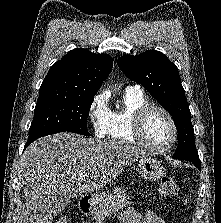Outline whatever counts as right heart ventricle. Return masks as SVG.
Here are the masks:
<instances>
[{
	"label": "right heart ventricle",
	"mask_w": 221,
	"mask_h": 223,
	"mask_svg": "<svg viewBox=\"0 0 221 223\" xmlns=\"http://www.w3.org/2000/svg\"><path fill=\"white\" fill-rule=\"evenodd\" d=\"M123 107L110 111L107 137L110 141L118 143H134L131 126L135 113L142 107L150 104L148 96L141 89L125 90L123 94Z\"/></svg>",
	"instance_id": "e07e8e85"
}]
</instances>
